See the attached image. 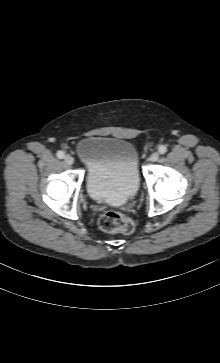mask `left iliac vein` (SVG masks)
<instances>
[{
    "mask_svg": "<svg viewBox=\"0 0 220 363\" xmlns=\"http://www.w3.org/2000/svg\"><path fill=\"white\" fill-rule=\"evenodd\" d=\"M158 158H159V154H158L157 152H154V153H152V154H151V156L149 157V160H150L151 162H155V161H157V160H158Z\"/></svg>",
    "mask_w": 220,
    "mask_h": 363,
    "instance_id": "obj_1",
    "label": "left iliac vein"
}]
</instances>
